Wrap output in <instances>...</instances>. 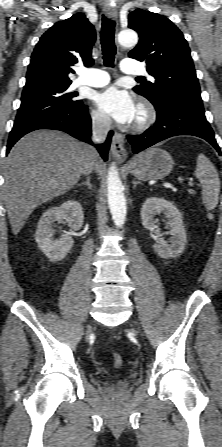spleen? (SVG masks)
Returning <instances> with one entry per match:
<instances>
[{
  "instance_id": "3e777b00",
  "label": "spleen",
  "mask_w": 222,
  "mask_h": 447,
  "mask_svg": "<svg viewBox=\"0 0 222 447\" xmlns=\"http://www.w3.org/2000/svg\"><path fill=\"white\" fill-rule=\"evenodd\" d=\"M195 176L202 184V201L208 210H213L219 201L220 179L215 166L204 155L199 154Z\"/></svg>"
}]
</instances>
